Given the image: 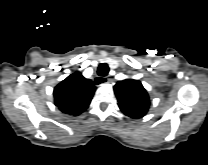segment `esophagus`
<instances>
[{
  "label": "esophagus",
  "instance_id": "1",
  "mask_svg": "<svg viewBox=\"0 0 208 165\" xmlns=\"http://www.w3.org/2000/svg\"><path fill=\"white\" fill-rule=\"evenodd\" d=\"M99 82H101V80H98ZM110 82V79L109 77H105V83H109Z\"/></svg>",
  "mask_w": 208,
  "mask_h": 165
}]
</instances>
